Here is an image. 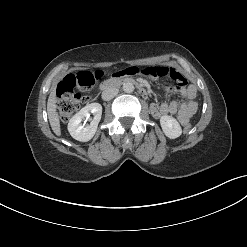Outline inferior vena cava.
<instances>
[{
	"instance_id": "obj_1",
	"label": "inferior vena cava",
	"mask_w": 247,
	"mask_h": 247,
	"mask_svg": "<svg viewBox=\"0 0 247 247\" xmlns=\"http://www.w3.org/2000/svg\"><path fill=\"white\" fill-rule=\"evenodd\" d=\"M118 91L119 90L116 87H108L102 92V99L109 101L118 94Z\"/></svg>"
}]
</instances>
